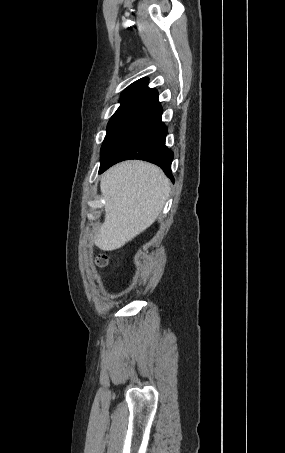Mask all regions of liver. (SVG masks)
Here are the masks:
<instances>
[{
  "label": "liver",
  "mask_w": 285,
  "mask_h": 453,
  "mask_svg": "<svg viewBox=\"0 0 285 453\" xmlns=\"http://www.w3.org/2000/svg\"><path fill=\"white\" fill-rule=\"evenodd\" d=\"M100 189L106 202L105 220L93 242L112 251L154 223L169 195V182L153 164L125 161L102 175Z\"/></svg>",
  "instance_id": "6515ba94"
}]
</instances>
